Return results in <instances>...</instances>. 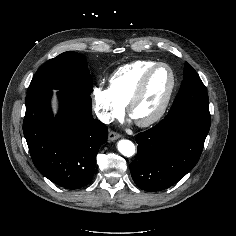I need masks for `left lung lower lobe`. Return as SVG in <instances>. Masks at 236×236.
Masks as SVG:
<instances>
[{"label": "left lung lower lobe", "mask_w": 236, "mask_h": 236, "mask_svg": "<svg viewBox=\"0 0 236 236\" xmlns=\"http://www.w3.org/2000/svg\"><path fill=\"white\" fill-rule=\"evenodd\" d=\"M207 110L171 111L153 128L139 133L137 155L130 164L136 185L148 192L167 189L197 164L210 129Z\"/></svg>", "instance_id": "0a47b994"}]
</instances>
